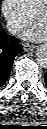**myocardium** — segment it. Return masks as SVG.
I'll list each match as a JSON object with an SVG mask.
<instances>
[{"instance_id": "myocardium-1", "label": "myocardium", "mask_w": 47, "mask_h": 129, "mask_svg": "<svg viewBox=\"0 0 47 129\" xmlns=\"http://www.w3.org/2000/svg\"><path fill=\"white\" fill-rule=\"evenodd\" d=\"M45 14L47 15V0H45L42 5L37 8V10L34 12L33 17L37 20V18L41 15Z\"/></svg>"}]
</instances>
